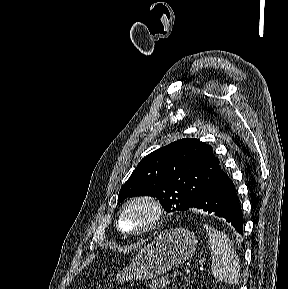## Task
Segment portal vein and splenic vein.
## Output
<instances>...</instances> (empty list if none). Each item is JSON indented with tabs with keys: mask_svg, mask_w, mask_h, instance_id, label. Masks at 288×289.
<instances>
[{
	"mask_svg": "<svg viewBox=\"0 0 288 289\" xmlns=\"http://www.w3.org/2000/svg\"><path fill=\"white\" fill-rule=\"evenodd\" d=\"M183 272V270L182 269H179V270H177V271H175L173 274H172V276H177L178 274H181Z\"/></svg>",
	"mask_w": 288,
	"mask_h": 289,
	"instance_id": "1",
	"label": "portal vein and splenic vein"
}]
</instances>
